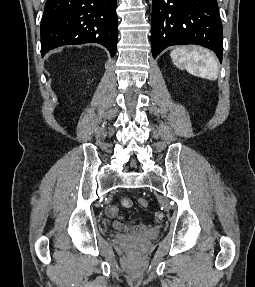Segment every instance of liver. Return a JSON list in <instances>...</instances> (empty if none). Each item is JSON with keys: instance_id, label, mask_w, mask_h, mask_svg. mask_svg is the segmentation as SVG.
<instances>
[{"instance_id": "liver-1", "label": "liver", "mask_w": 255, "mask_h": 287, "mask_svg": "<svg viewBox=\"0 0 255 287\" xmlns=\"http://www.w3.org/2000/svg\"><path fill=\"white\" fill-rule=\"evenodd\" d=\"M61 48H59V50H55V52H60Z\"/></svg>"}]
</instances>
